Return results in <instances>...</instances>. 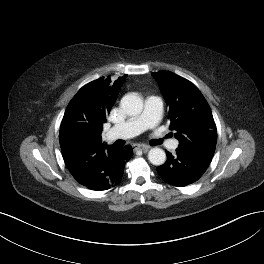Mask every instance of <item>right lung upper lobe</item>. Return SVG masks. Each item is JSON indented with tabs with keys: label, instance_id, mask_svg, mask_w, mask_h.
Listing matches in <instances>:
<instances>
[{
	"label": "right lung upper lobe",
	"instance_id": "1",
	"mask_svg": "<svg viewBox=\"0 0 264 264\" xmlns=\"http://www.w3.org/2000/svg\"><path fill=\"white\" fill-rule=\"evenodd\" d=\"M125 77L112 81L101 77L82 87L70 101L60 128L61 150L101 142L103 124L113 107Z\"/></svg>",
	"mask_w": 264,
	"mask_h": 264
}]
</instances>
